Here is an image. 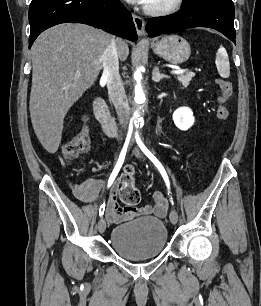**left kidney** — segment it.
<instances>
[{
    "label": "left kidney",
    "mask_w": 261,
    "mask_h": 306,
    "mask_svg": "<svg viewBox=\"0 0 261 306\" xmlns=\"http://www.w3.org/2000/svg\"><path fill=\"white\" fill-rule=\"evenodd\" d=\"M193 112L188 107H181L174 111L173 121L183 131L188 130L194 124Z\"/></svg>",
    "instance_id": "5707ae66"
}]
</instances>
